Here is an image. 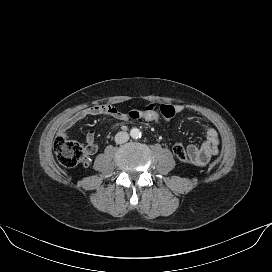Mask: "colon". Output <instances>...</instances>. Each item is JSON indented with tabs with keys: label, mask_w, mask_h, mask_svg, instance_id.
I'll list each match as a JSON object with an SVG mask.
<instances>
[{
	"label": "colon",
	"mask_w": 272,
	"mask_h": 272,
	"mask_svg": "<svg viewBox=\"0 0 272 272\" xmlns=\"http://www.w3.org/2000/svg\"><path fill=\"white\" fill-rule=\"evenodd\" d=\"M176 113V108L170 104H163L158 108L147 105L128 112V117L130 120H142L163 127L169 123ZM54 150L59 163L66 168L89 164L90 159L87 150L75 141L57 137L54 142ZM173 153L181 162L192 164L187 150L182 144H175Z\"/></svg>",
	"instance_id": "5ec220e1"
}]
</instances>
